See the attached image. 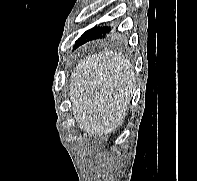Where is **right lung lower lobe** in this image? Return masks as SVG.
Segmentation results:
<instances>
[{
    "label": "right lung lower lobe",
    "mask_w": 197,
    "mask_h": 181,
    "mask_svg": "<svg viewBox=\"0 0 197 181\" xmlns=\"http://www.w3.org/2000/svg\"><path fill=\"white\" fill-rule=\"evenodd\" d=\"M108 27H98L86 31L75 43V47H78L88 41L93 39L102 38L107 32H109Z\"/></svg>",
    "instance_id": "98d812e1"
}]
</instances>
